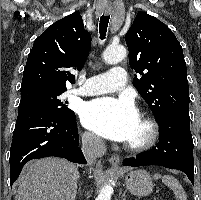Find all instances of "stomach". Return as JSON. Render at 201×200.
Segmentation results:
<instances>
[{
  "instance_id": "obj_1",
  "label": "stomach",
  "mask_w": 201,
  "mask_h": 200,
  "mask_svg": "<svg viewBox=\"0 0 201 200\" xmlns=\"http://www.w3.org/2000/svg\"><path fill=\"white\" fill-rule=\"evenodd\" d=\"M124 178L126 187L132 194L146 196L152 192V179L147 171L133 170L128 172Z\"/></svg>"
}]
</instances>
